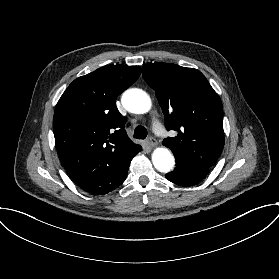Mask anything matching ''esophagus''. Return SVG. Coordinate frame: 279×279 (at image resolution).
<instances>
[{
  "label": "esophagus",
  "mask_w": 279,
  "mask_h": 279,
  "mask_svg": "<svg viewBox=\"0 0 279 279\" xmlns=\"http://www.w3.org/2000/svg\"><path fill=\"white\" fill-rule=\"evenodd\" d=\"M147 142H148L149 146H151V147H155V146L158 145L157 140L155 138H153V137H149L147 139Z\"/></svg>",
  "instance_id": "34e87169"
}]
</instances>
